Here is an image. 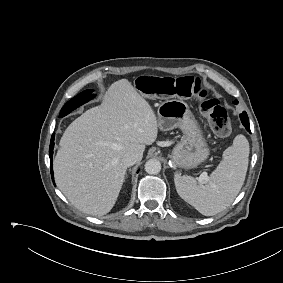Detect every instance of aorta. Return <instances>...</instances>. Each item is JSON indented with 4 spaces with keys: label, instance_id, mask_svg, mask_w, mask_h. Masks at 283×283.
Returning a JSON list of instances; mask_svg holds the SVG:
<instances>
[{
    "label": "aorta",
    "instance_id": "762f6f07",
    "mask_svg": "<svg viewBox=\"0 0 283 283\" xmlns=\"http://www.w3.org/2000/svg\"><path fill=\"white\" fill-rule=\"evenodd\" d=\"M145 171L151 175L158 174L161 171V163L156 159H150L145 163Z\"/></svg>",
    "mask_w": 283,
    "mask_h": 283
}]
</instances>
